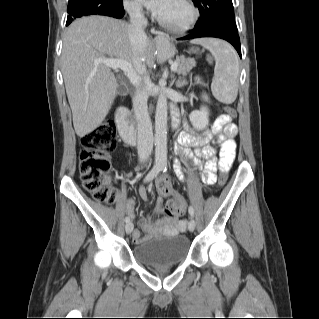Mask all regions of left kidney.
Returning a JSON list of instances; mask_svg holds the SVG:
<instances>
[{"label": "left kidney", "instance_id": "5707ae66", "mask_svg": "<svg viewBox=\"0 0 319 319\" xmlns=\"http://www.w3.org/2000/svg\"><path fill=\"white\" fill-rule=\"evenodd\" d=\"M209 111L206 107H201L198 111L191 112L189 119L194 128L202 130L207 127L209 123Z\"/></svg>", "mask_w": 319, "mask_h": 319}]
</instances>
